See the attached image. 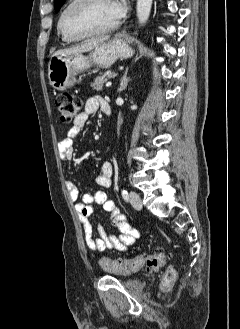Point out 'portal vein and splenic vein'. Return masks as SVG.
<instances>
[{
    "mask_svg": "<svg viewBox=\"0 0 240 329\" xmlns=\"http://www.w3.org/2000/svg\"><path fill=\"white\" fill-rule=\"evenodd\" d=\"M112 85V82H107L106 87H110Z\"/></svg>",
    "mask_w": 240,
    "mask_h": 329,
    "instance_id": "1",
    "label": "portal vein and splenic vein"
}]
</instances>
